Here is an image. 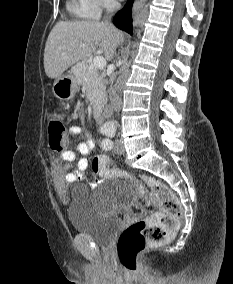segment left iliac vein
<instances>
[{
  "instance_id": "left-iliac-vein-1",
  "label": "left iliac vein",
  "mask_w": 233,
  "mask_h": 284,
  "mask_svg": "<svg viewBox=\"0 0 233 284\" xmlns=\"http://www.w3.org/2000/svg\"><path fill=\"white\" fill-rule=\"evenodd\" d=\"M113 151L117 154H122L124 153L125 149H124V145L121 142L120 139H116L114 142V146H113Z\"/></svg>"
}]
</instances>
